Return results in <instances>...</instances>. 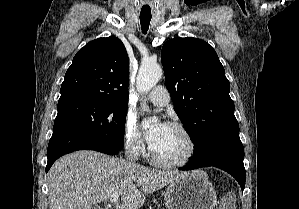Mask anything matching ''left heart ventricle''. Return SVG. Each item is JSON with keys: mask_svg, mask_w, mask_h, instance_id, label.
I'll return each instance as SVG.
<instances>
[{"mask_svg": "<svg viewBox=\"0 0 299 209\" xmlns=\"http://www.w3.org/2000/svg\"><path fill=\"white\" fill-rule=\"evenodd\" d=\"M151 148L158 158L165 161H176L186 155L188 142L180 131L166 126Z\"/></svg>", "mask_w": 299, "mask_h": 209, "instance_id": "b2bd125f", "label": "left heart ventricle"}]
</instances>
